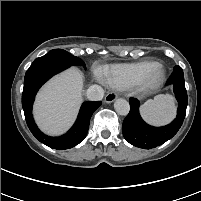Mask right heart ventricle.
Returning <instances> with one entry per match:
<instances>
[{
    "mask_svg": "<svg viewBox=\"0 0 201 201\" xmlns=\"http://www.w3.org/2000/svg\"><path fill=\"white\" fill-rule=\"evenodd\" d=\"M144 60L135 63L116 64L103 70L105 82L117 89H125L139 84L144 74L155 64Z\"/></svg>",
    "mask_w": 201,
    "mask_h": 201,
    "instance_id": "e07e8e85",
    "label": "right heart ventricle"
}]
</instances>
